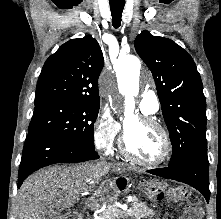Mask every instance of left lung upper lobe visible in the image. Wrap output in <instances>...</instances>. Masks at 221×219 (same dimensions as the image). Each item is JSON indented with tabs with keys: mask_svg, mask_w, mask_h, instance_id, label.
<instances>
[{
	"mask_svg": "<svg viewBox=\"0 0 221 219\" xmlns=\"http://www.w3.org/2000/svg\"><path fill=\"white\" fill-rule=\"evenodd\" d=\"M135 49L154 77L173 153L170 166L195 152H207L206 100L192 57L174 41L143 31Z\"/></svg>",
	"mask_w": 221,
	"mask_h": 219,
	"instance_id": "obj_1",
	"label": "left lung upper lobe"
}]
</instances>
